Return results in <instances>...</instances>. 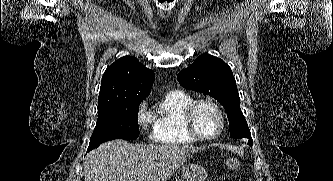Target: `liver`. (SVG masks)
Here are the masks:
<instances>
[{"label":"liver","mask_w":333,"mask_h":181,"mask_svg":"<svg viewBox=\"0 0 333 181\" xmlns=\"http://www.w3.org/2000/svg\"><path fill=\"white\" fill-rule=\"evenodd\" d=\"M205 147L103 143L83 162L85 181H168L194 153Z\"/></svg>","instance_id":"6515ba94"}]
</instances>
